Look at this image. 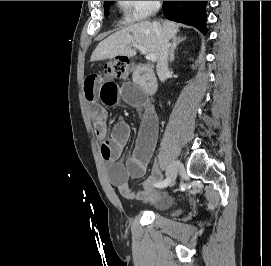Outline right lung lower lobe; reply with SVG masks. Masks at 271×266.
<instances>
[{
    "instance_id": "right-lung-lower-lobe-1",
    "label": "right lung lower lobe",
    "mask_w": 271,
    "mask_h": 266,
    "mask_svg": "<svg viewBox=\"0 0 271 266\" xmlns=\"http://www.w3.org/2000/svg\"><path fill=\"white\" fill-rule=\"evenodd\" d=\"M207 1H164L163 10L167 19L198 28L206 34Z\"/></svg>"
}]
</instances>
